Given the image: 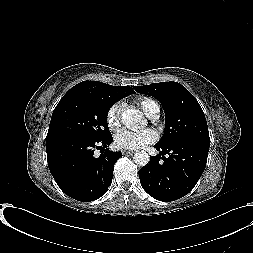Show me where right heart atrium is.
I'll return each instance as SVG.
<instances>
[{
	"instance_id": "obj_1",
	"label": "right heart atrium",
	"mask_w": 253,
	"mask_h": 253,
	"mask_svg": "<svg viewBox=\"0 0 253 253\" xmlns=\"http://www.w3.org/2000/svg\"><path fill=\"white\" fill-rule=\"evenodd\" d=\"M122 108L123 103L118 101L112 104L108 109L106 119L110 129H116L120 125Z\"/></svg>"
}]
</instances>
